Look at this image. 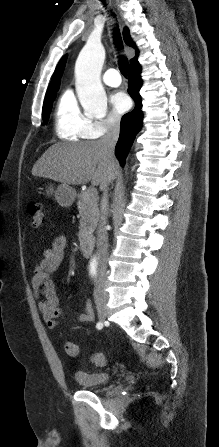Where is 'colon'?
Returning a JSON list of instances; mask_svg holds the SVG:
<instances>
[{"mask_svg": "<svg viewBox=\"0 0 219 447\" xmlns=\"http://www.w3.org/2000/svg\"><path fill=\"white\" fill-rule=\"evenodd\" d=\"M28 213L33 227H39L45 222V213L41 202H30L28 205ZM64 348L70 357H77L79 355V347L72 342H66ZM90 359L98 366H105L107 363V358L103 353L93 354Z\"/></svg>", "mask_w": 219, "mask_h": 447, "instance_id": "obj_1", "label": "colon"}]
</instances>
